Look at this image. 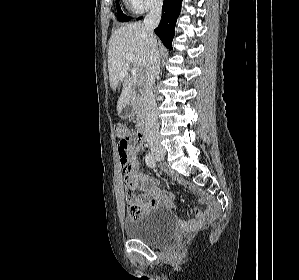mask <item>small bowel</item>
<instances>
[{
  "label": "small bowel",
  "instance_id": "1",
  "mask_svg": "<svg viewBox=\"0 0 299 280\" xmlns=\"http://www.w3.org/2000/svg\"><path fill=\"white\" fill-rule=\"evenodd\" d=\"M142 150V146L132 138V144L129 149L130 170L124 175V183L134 189L141 191L139 201L146 206V209L165 206L172 210L174 208V195L167 190L159 189L160 180L149 176L139 170L137 154ZM199 202L205 207L203 211L198 212L196 216L185 222L187 227H197L211 219L218 211L215 204L210 202L207 197H201Z\"/></svg>",
  "mask_w": 299,
  "mask_h": 280
}]
</instances>
